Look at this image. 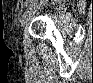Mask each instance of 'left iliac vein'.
<instances>
[{
  "label": "left iliac vein",
  "instance_id": "obj_1",
  "mask_svg": "<svg viewBox=\"0 0 93 83\" xmlns=\"http://www.w3.org/2000/svg\"><path fill=\"white\" fill-rule=\"evenodd\" d=\"M35 9H28L23 15H22V18H21V26H24L27 21L29 20V18L35 13Z\"/></svg>",
  "mask_w": 93,
  "mask_h": 83
}]
</instances>
